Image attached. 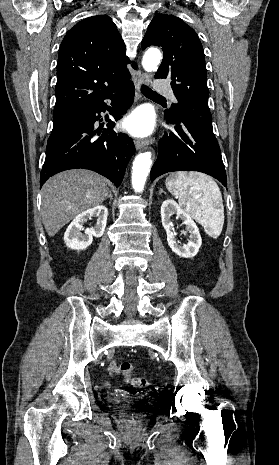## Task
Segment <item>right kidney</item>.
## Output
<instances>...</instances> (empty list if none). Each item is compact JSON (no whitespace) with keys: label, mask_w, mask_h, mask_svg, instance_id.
Returning <instances> with one entry per match:
<instances>
[{"label":"right kidney","mask_w":279,"mask_h":465,"mask_svg":"<svg viewBox=\"0 0 279 465\" xmlns=\"http://www.w3.org/2000/svg\"><path fill=\"white\" fill-rule=\"evenodd\" d=\"M108 209L103 205L95 206L85 210L75 217L64 233L66 246L73 250H84L91 245L93 237H102L107 223ZM97 217V223L94 227L87 228L84 234V223L91 217Z\"/></svg>","instance_id":"obj_1"}]
</instances>
